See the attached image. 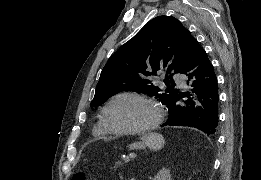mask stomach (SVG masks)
Listing matches in <instances>:
<instances>
[{"label":"stomach","instance_id":"0dacf381","mask_svg":"<svg viewBox=\"0 0 261 180\" xmlns=\"http://www.w3.org/2000/svg\"><path fill=\"white\" fill-rule=\"evenodd\" d=\"M139 147H140V144H138V143H133V144L129 145L130 149H137Z\"/></svg>","mask_w":261,"mask_h":180}]
</instances>
